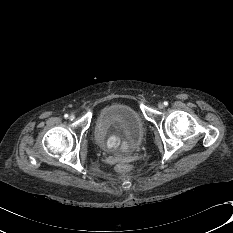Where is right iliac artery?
<instances>
[{
	"mask_svg": "<svg viewBox=\"0 0 233 233\" xmlns=\"http://www.w3.org/2000/svg\"><path fill=\"white\" fill-rule=\"evenodd\" d=\"M64 117H65V118H68V114H65Z\"/></svg>",
	"mask_w": 233,
	"mask_h": 233,
	"instance_id": "82829eb1",
	"label": "right iliac artery"
}]
</instances>
